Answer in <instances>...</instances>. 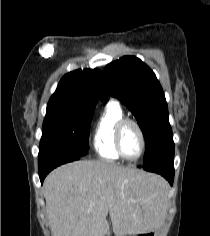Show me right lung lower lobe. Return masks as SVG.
I'll use <instances>...</instances> for the list:
<instances>
[{
    "instance_id": "obj_1",
    "label": "right lung lower lobe",
    "mask_w": 210,
    "mask_h": 236,
    "mask_svg": "<svg viewBox=\"0 0 210 236\" xmlns=\"http://www.w3.org/2000/svg\"><path fill=\"white\" fill-rule=\"evenodd\" d=\"M79 158L80 157H73L65 154L56 153L48 154L45 156H39L38 169L41 183H43V180L46 175L57 166L67 162L78 160Z\"/></svg>"
}]
</instances>
